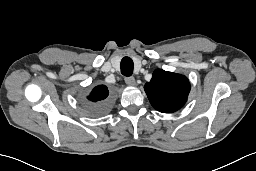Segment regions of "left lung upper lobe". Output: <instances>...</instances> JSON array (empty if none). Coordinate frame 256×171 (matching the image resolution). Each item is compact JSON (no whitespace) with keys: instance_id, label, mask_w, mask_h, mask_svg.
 I'll use <instances>...</instances> for the list:
<instances>
[{"instance_id":"left-lung-upper-lobe-1","label":"left lung upper lobe","mask_w":256,"mask_h":171,"mask_svg":"<svg viewBox=\"0 0 256 171\" xmlns=\"http://www.w3.org/2000/svg\"><path fill=\"white\" fill-rule=\"evenodd\" d=\"M151 105L162 113L175 112L187 101L189 80L180 74L155 70L150 82L144 86Z\"/></svg>"}]
</instances>
